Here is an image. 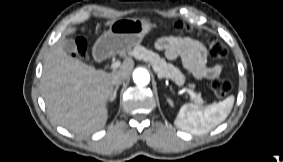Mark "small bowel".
Returning <instances> with one entry per match:
<instances>
[{
    "instance_id": "obj_1",
    "label": "small bowel",
    "mask_w": 283,
    "mask_h": 162,
    "mask_svg": "<svg viewBox=\"0 0 283 162\" xmlns=\"http://www.w3.org/2000/svg\"><path fill=\"white\" fill-rule=\"evenodd\" d=\"M156 48L164 51L169 60L179 58L197 79H215L222 72V66L211 64L205 47L196 40L167 36L156 42Z\"/></svg>"
}]
</instances>
